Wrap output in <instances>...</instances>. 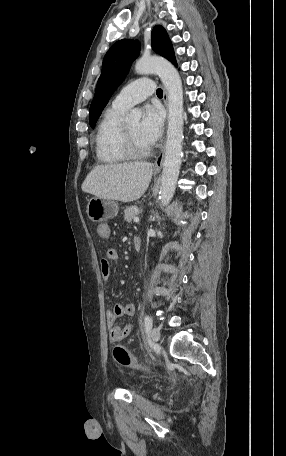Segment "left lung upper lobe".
Returning <instances> with one entry per match:
<instances>
[{
	"instance_id": "5c2ea615",
	"label": "left lung upper lobe",
	"mask_w": 286,
	"mask_h": 456,
	"mask_svg": "<svg viewBox=\"0 0 286 456\" xmlns=\"http://www.w3.org/2000/svg\"><path fill=\"white\" fill-rule=\"evenodd\" d=\"M152 49L177 66L172 43L166 30L157 25L151 34ZM137 41L123 39L116 42L103 59L102 72L98 79L94 99L90 106L89 123L94 128L99 116L115 89L125 78L132 62L138 57Z\"/></svg>"
}]
</instances>
